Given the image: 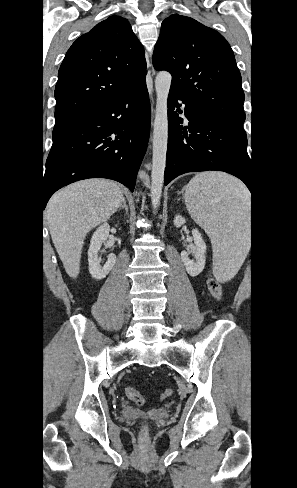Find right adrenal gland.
<instances>
[{"label": "right adrenal gland", "mask_w": 297, "mask_h": 488, "mask_svg": "<svg viewBox=\"0 0 297 488\" xmlns=\"http://www.w3.org/2000/svg\"><path fill=\"white\" fill-rule=\"evenodd\" d=\"M123 209L125 210L126 214L128 215V206L126 204L125 199H123V203L119 206L118 211L123 210Z\"/></svg>", "instance_id": "obj_1"}]
</instances>
